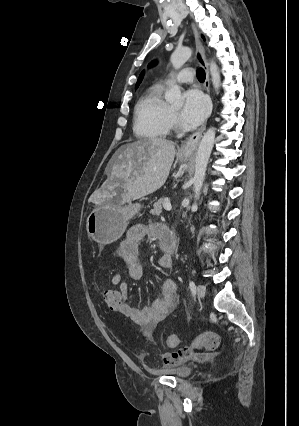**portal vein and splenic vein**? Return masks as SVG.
Wrapping results in <instances>:
<instances>
[{
	"mask_svg": "<svg viewBox=\"0 0 299 426\" xmlns=\"http://www.w3.org/2000/svg\"><path fill=\"white\" fill-rule=\"evenodd\" d=\"M163 206H164V208H165L166 210H168V211H169V210H171V208H172V207H171L170 202H168V201H167V202H165V203L163 204Z\"/></svg>",
	"mask_w": 299,
	"mask_h": 426,
	"instance_id": "obj_1",
	"label": "portal vein and splenic vein"
}]
</instances>
